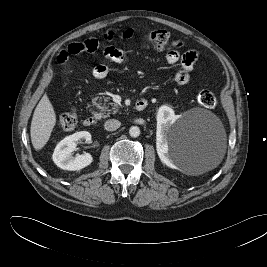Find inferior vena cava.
Wrapping results in <instances>:
<instances>
[{"label": "inferior vena cava", "mask_w": 267, "mask_h": 267, "mask_svg": "<svg viewBox=\"0 0 267 267\" xmlns=\"http://www.w3.org/2000/svg\"><path fill=\"white\" fill-rule=\"evenodd\" d=\"M121 125V122L116 119H109L105 122L104 127L107 131H115Z\"/></svg>", "instance_id": "602c4592"}]
</instances>
